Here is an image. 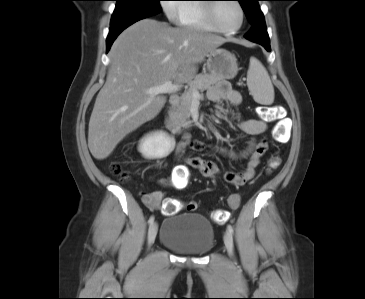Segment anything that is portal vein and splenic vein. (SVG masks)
Wrapping results in <instances>:
<instances>
[{"instance_id": "obj_1", "label": "portal vein and splenic vein", "mask_w": 365, "mask_h": 299, "mask_svg": "<svg viewBox=\"0 0 365 299\" xmlns=\"http://www.w3.org/2000/svg\"><path fill=\"white\" fill-rule=\"evenodd\" d=\"M180 90V86L178 84H173L171 81L165 82L163 85L149 88L146 93L150 95H159V94H171ZM200 96L199 92L194 91L193 97L198 98Z\"/></svg>"}]
</instances>
